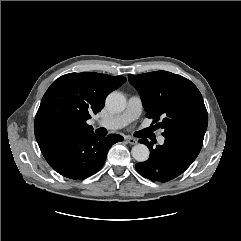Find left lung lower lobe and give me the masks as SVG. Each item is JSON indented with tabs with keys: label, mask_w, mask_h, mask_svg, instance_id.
I'll list each match as a JSON object with an SVG mask.
<instances>
[{
	"label": "left lung lower lobe",
	"mask_w": 241,
	"mask_h": 241,
	"mask_svg": "<svg viewBox=\"0 0 241 241\" xmlns=\"http://www.w3.org/2000/svg\"><path fill=\"white\" fill-rule=\"evenodd\" d=\"M203 139L204 134L200 133L172 135L165 137L164 144L156 148L148 140L142 139L150 150V157L145 162L137 163L136 170L152 181H170L181 175L196 159Z\"/></svg>",
	"instance_id": "left-lung-lower-lobe-1"
}]
</instances>
